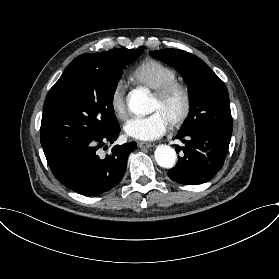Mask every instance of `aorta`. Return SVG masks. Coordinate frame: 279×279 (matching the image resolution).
Returning a JSON list of instances; mask_svg holds the SVG:
<instances>
[{"mask_svg":"<svg viewBox=\"0 0 279 279\" xmlns=\"http://www.w3.org/2000/svg\"><path fill=\"white\" fill-rule=\"evenodd\" d=\"M128 107L131 112L144 115L150 112L148 95L142 90H135L129 95ZM157 164L163 168L174 167L176 151L168 145H158L154 152Z\"/></svg>","mask_w":279,"mask_h":279,"instance_id":"1","label":"aorta"}]
</instances>
